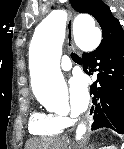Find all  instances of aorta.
<instances>
[{
    "label": "aorta",
    "instance_id": "aorta-1",
    "mask_svg": "<svg viewBox=\"0 0 124 149\" xmlns=\"http://www.w3.org/2000/svg\"><path fill=\"white\" fill-rule=\"evenodd\" d=\"M66 22V12L53 11L35 28L30 43L32 89L36 99L46 107H55L67 97V87L60 69ZM73 34L75 43L83 51H92L101 42V31L89 15L79 14L75 17ZM85 132L86 126L80 124L76 138L80 140Z\"/></svg>",
    "mask_w": 124,
    "mask_h": 149
}]
</instances>
